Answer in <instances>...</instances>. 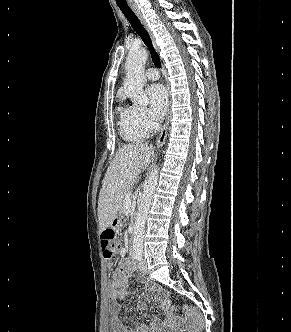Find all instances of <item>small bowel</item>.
Wrapping results in <instances>:
<instances>
[{
    "instance_id": "obj_1",
    "label": "small bowel",
    "mask_w": 291,
    "mask_h": 332,
    "mask_svg": "<svg viewBox=\"0 0 291 332\" xmlns=\"http://www.w3.org/2000/svg\"><path fill=\"white\" fill-rule=\"evenodd\" d=\"M120 254L122 259L113 271L112 281L109 284L110 307L111 310L115 312L119 311L118 301L128 295V280L135 270L133 263L125 258V249H121ZM148 302H157L159 307L165 311L167 319L153 321L150 329L143 324L127 329L119 319H115L112 323L113 332H161L166 328L174 327L179 324V317L169 308V301L162 299L158 288L154 286L147 287L146 292L138 303V311L142 312Z\"/></svg>"
}]
</instances>
